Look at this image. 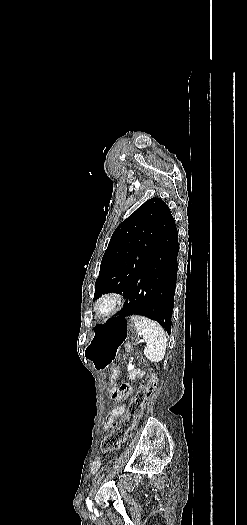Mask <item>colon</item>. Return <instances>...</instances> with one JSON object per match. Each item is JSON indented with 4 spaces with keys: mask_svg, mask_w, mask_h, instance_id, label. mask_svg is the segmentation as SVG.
<instances>
[{
    "mask_svg": "<svg viewBox=\"0 0 247 525\" xmlns=\"http://www.w3.org/2000/svg\"><path fill=\"white\" fill-rule=\"evenodd\" d=\"M108 376V381L113 383L119 376V370H110ZM157 383V376L154 373H151L145 385L132 399L127 414L119 423L113 424L111 432L102 441L101 448L104 453L120 447L126 441L127 436L131 434L133 430L135 422L143 412L149 393L157 385ZM105 390L110 392L112 387L107 385Z\"/></svg>",
    "mask_w": 247,
    "mask_h": 525,
    "instance_id": "colon-1",
    "label": "colon"
}]
</instances>
